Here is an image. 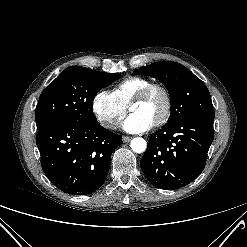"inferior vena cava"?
I'll list each match as a JSON object with an SVG mask.
<instances>
[{"instance_id": "602c4592", "label": "inferior vena cava", "mask_w": 247, "mask_h": 247, "mask_svg": "<svg viewBox=\"0 0 247 247\" xmlns=\"http://www.w3.org/2000/svg\"><path fill=\"white\" fill-rule=\"evenodd\" d=\"M107 128H116V123L114 121H107L103 124Z\"/></svg>"}]
</instances>
